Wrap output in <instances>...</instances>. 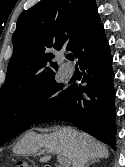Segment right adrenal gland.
<instances>
[{"mask_svg":"<svg viewBox=\"0 0 125 167\" xmlns=\"http://www.w3.org/2000/svg\"><path fill=\"white\" fill-rule=\"evenodd\" d=\"M98 162L96 159H92L91 161L87 162L83 167H89L91 164Z\"/></svg>","mask_w":125,"mask_h":167,"instance_id":"right-adrenal-gland-1","label":"right adrenal gland"}]
</instances>
